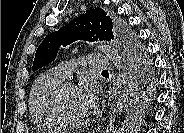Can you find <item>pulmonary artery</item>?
<instances>
[{
	"label": "pulmonary artery",
	"mask_w": 184,
	"mask_h": 133,
	"mask_svg": "<svg viewBox=\"0 0 184 133\" xmlns=\"http://www.w3.org/2000/svg\"><path fill=\"white\" fill-rule=\"evenodd\" d=\"M82 63L92 70H108L111 68V63L108 57L99 54H90L82 58ZM73 61L67 60L61 62L57 67V72L63 77L69 76L74 70Z\"/></svg>",
	"instance_id": "1"
}]
</instances>
